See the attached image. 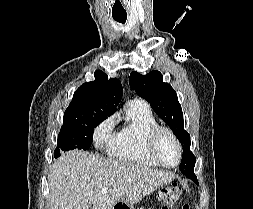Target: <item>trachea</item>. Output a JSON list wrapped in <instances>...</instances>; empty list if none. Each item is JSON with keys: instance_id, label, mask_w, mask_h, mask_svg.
Masks as SVG:
<instances>
[{"instance_id": "trachea-1", "label": "trachea", "mask_w": 253, "mask_h": 209, "mask_svg": "<svg viewBox=\"0 0 253 209\" xmlns=\"http://www.w3.org/2000/svg\"><path fill=\"white\" fill-rule=\"evenodd\" d=\"M114 20H116L117 22L119 23H122L124 24L126 19H127V16H119V17H113Z\"/></svg>"}]
</instances>
